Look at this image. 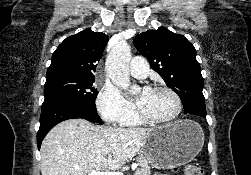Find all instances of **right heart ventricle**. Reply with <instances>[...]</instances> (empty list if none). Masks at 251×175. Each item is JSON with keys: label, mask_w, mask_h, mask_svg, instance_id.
Masks as SVG:
<instances>
[{"label": "right heart ventricle", "mask_w": 251, "mask_h": 175, "mask_svg": "<svg viewBox=\"0 0 251 175\" xmlns=\"http://www.w3.org/2000/svg\"><path fill=\"white\" fill-rule=\"evenodd\" d=\"M138 123V118L135 116L134 118H132L131 120H129L128 122L124 123L125 125H135Z\"/></svg>", "instance_id": "1"}]
</instances>
